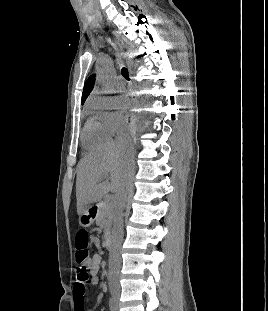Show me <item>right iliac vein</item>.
<instances>
[{"mask_svg":"<svg viewBox=\"0 0 268 311\" xmlns=\"http://www.w3.org/2000/svg\"><path fill=\"white\" fill-rule=\"evenodd\" d=\"M111 295L115 301V304L117 306L118 304V299H119V296H120V290L117 289V288H111Z\"/></svg>","mask_w":268,"mask_h":311,"instance_id":"1","label":"right iliac vein"}]
</instances>
